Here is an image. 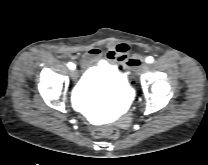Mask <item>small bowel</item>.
Segmentation results:
<instances>
[{
  "mask_svg": "<svg viewBox=\"0 0 208 165\" xmlns=\"http://www.w3.org/2000/svg\"><path fill=\"white\" fill-rule=\"evenodd\" d=\"M102 57L101 50L92 48L82 56L83 65L88 68L96 64ZM104 58L120 70H128L138 63V56L130 53V48L124 43L111 44L106 48Z\"/></svg>",
  "mask_w": 208,
  "mask_h": 165,
  "instance_id": "obj_1",
  "label": "small bowel"
}]
</instances>
